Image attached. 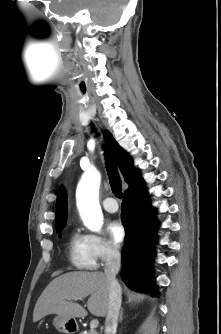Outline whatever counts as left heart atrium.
Here are the masks:
<instances>
[{
	"label": "left heart atrium",
	"instance_id": "left-heart-atrium-1",
	"mask_svg": "<svg viewBox=\"0 0 221 334\" xmlns=\"http://www.w3.org/2000/svg\"><path fill=\"white\" fill-rule=\"evenodd\" d=\"M108 232L111 240L115 244H119L125 237V229L123 224L119 220H113L108 224Z\"/></svg>",
	"mask_w": 221,
	"mask_h": 334
}]
</instances>
